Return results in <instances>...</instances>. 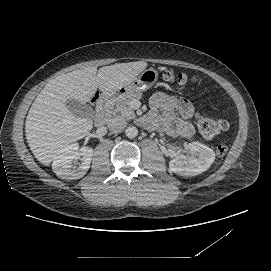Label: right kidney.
Wrapping results in <instances>:
<instances>
[{
    "instance_id": "ca27d5eb",
    "label": "right kidney",
    "mask_w": 271,
    "mask_h": 271,
    "mask_svg": "<svg viewBox=\"0 0 271 271\" xmlns=\"http://www.w3.org/2000/svg\"><path fill=\"white\" fill-rule=\"evenodd\" d=\"M92 156L91 147L79 148L78 143L67 145L54 158L52 170L60 179H80L90 168Z\"/></svg>"
}]
</instances>
